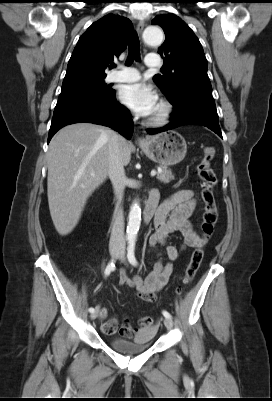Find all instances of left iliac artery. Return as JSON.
Returning <instances> with one entry per match:
<instances>
[{"label": "left iliac artery", "instance_id": "left-iliac-artery-1", "mask_svg": "<svg viewBox=\"0 0 272 401\" xmlns=\"http://www.w3.org/2000/svg\"><path fill=\"white\" fill-rule=\"evenodd\" d=\"M134 250H135V240H134V239H130V240H129V246H128V254H127V257H128L129 262H130L132 265L136 266V265H137V260H136V258H135ZM162 313H163V315H164L165 318H171V315H170V313H169L168 311L163 310Z\"/></svg>", "mask_w": 272, "mask_h": 401}]
</instances>
